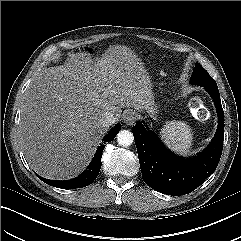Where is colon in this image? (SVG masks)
<instances>
[{"label": "colon", "instance_id": "5ec220e1", "mask_svg": "<svg viewBox=\"0 0 241 241\" xmlns=\"http://www.w3.org/2000/svg\"><path fill=\"white\" fill-rule=\"evenodd\" d=\"M190 107L195 111V114L199 119H206L208 117V111L203 106L202 101L199 98H193L190 101Z\"/></svg>", "mask_w": 241, "mask_h": 241}]
</instances>
